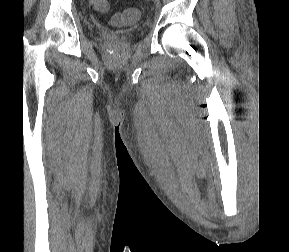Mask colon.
Returning <instances> with one entry per match:
<instances>
[{"label":"colon","mask_w":289,"mask_h":252,"mask_svg":"<svg viewBox=\"0 0 289 252\" xmlns=\"http://www.w3.org/2000/svg\"><path fill=\"white\" fill-rule=\"evenodd\" d=\"M94 8L99 12H106L109 9L107 0H92ZM140 13L136 8H127L122 13L113 18V23L120 25L127 23H135L139 20Z\"/></svg>","instance_id":"1"}]
</instances>
